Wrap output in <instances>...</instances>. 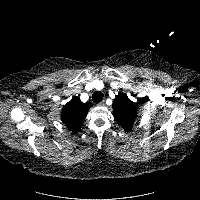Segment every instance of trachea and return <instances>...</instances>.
I'll return each instance as SVG.
<instances>
[{
    "mask_svg": "<svg viewBox=\"0 0 200 200\" xmlns=\"http://www.w3.org/2000/svg\"><path fill=\"white\" fill-rule=\"evenodd\" d=\"M103 99V93L100 92V91H96L92 94V100L95 102V103H99L101 102Z\"/></svg>",
    "mask_w": 200,
    "mask_h": 200,
    "instance_id": "obj_1",
    "label": "trachea"
}]
</instances>
